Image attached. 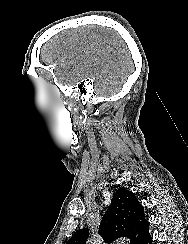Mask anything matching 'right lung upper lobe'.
Instances as JSON below:
<instances>
[{
    "label": "right lung upper lobe",
    "mask_w": 188,
    "mask_h": 244,
    "mask_svg": "<svg viewBox=\"0 0 188 244\" xmlns=\"http://www.w3.org/2000/svg\"><path fill=\"white\" fill-rule=\"evenodd\" d=\"M148 229L149 222L145 220L143 206L131 191L120 188L113 195L111 205L101 220V237L108 243L125 237L130 244H137ZM88 234L87 228L77 230L66 244H84Z\"/></svg>",
    "instance_id": "right-lung-upper-lobe-1"
}]
</instances>
